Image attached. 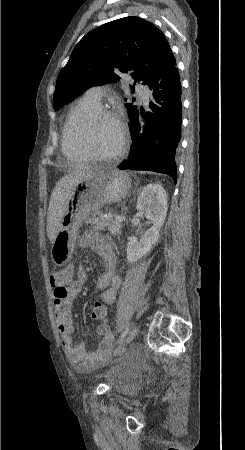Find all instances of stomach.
<instances>
[{"instance_id": "0dacf381", "label": "stomach", "mask_w": 245, "mask_h": 450, "mask_svg": "<svg viewBox=\"0 0 245 450\" xmlns=\"http://www.w3.org/2000/svg\"><path fill=\"white\" fill-rule=\"evenodd\" d=\"M130 188L131 180L126 173L109 169H96L92 175L76 183L52 244L53 263L66 265L72 258L82 222L97 213L103 205L124 199Z\"/></svg>"}]
</instances>
